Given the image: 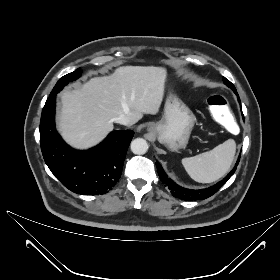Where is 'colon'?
I'll return each mask as SVG.
<instances>
[{
    "label": "colon",
    "mask_w": 280,
    "mask_h": 280,
    "mask_svg": "<svg viewBox=\"0 0 280 280\" xmlns=\"http://www.w3.org/2000/svg\"><path fill=\"white\" fill-rule=\"evenodd\" d=\"M209 111L220 125L225 127V130L230 135H235L239 131V125L232 115L231 109L226 98L220 94H213L207 98Z\"/></svg>",
    "instance_id": "obj_1"
}]
</instances>
